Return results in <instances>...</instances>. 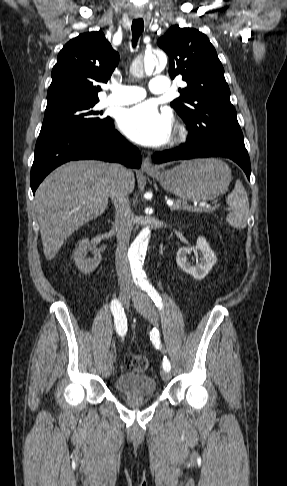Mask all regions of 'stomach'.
I'll list each match as a JSON object with an SVG mask.
<instances>
[{"mask_svg":"<svg viewBox=\"0 0 287 486\" xmlns=\"http://www.w3.org/2000/svg\"><path fill=\"white\" fill-rule=\"evenodd\" d=\"M161 186L180 199L209 201L218 197L231 181V170L220 159L182 161L169 170L149 173Z\"/></svg>","mask_w":287,"mask_h":486,"instance_id":"0dacf381","label":"stomach"}]
</instances>
